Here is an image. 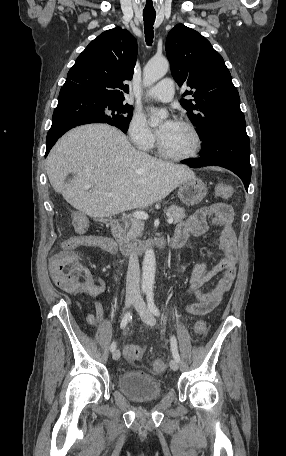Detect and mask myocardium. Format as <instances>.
<instances>
[{"label": "myocardium", "instance_id": "myocardium-1", "mask_svg": "<svg viewBox=\"0 0 286 456\" xmlns=\"http://www.w3.org/2000/svg\"><path fill=\"white\" fill-rule=\"evenodd\" d=\"M176 123L188 128L192 132V134L196 140V145H195L194 150L190 154H187V155H182V156L174 155V154L167 152L164 149L160 138H158L157 150H158L159 155L162 156L163 158L173 160V161H187V160L197 158L200 155V153L203 149V145H204V141H203L201 132L193 123H191L189 121L177 120Z\"/></svg>", "mask_w": 286, "mask_h": 456}]
</instances>
